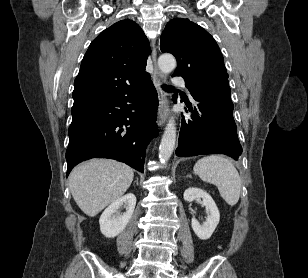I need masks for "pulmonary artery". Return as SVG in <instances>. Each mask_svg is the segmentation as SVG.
<instances>
[{"label":"pulmonary artery","instance_id":"obj_1","mask_svg":"<svg viewBox=\"0 0 308 278\" xmlns=\"http://www.w3.org/2000/svg\"><path fill=\"white\" fill-rule=\"evenodd\" d=\"M172 83H173L174 85L186 87L185 81H184L181 77H174V78L172 79Z\"/></svg>","mask_w":308,"mask_h":278}]
</instances>
